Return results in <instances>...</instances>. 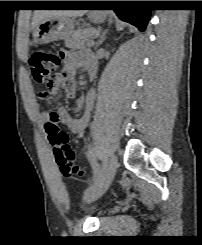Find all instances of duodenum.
Returning a JSON list of instances; mask_svg holds the SVG:
<instances>
[{
    "label": "duodenum",
    "mask_w": 202,
    "mask_h": 245,
    "mask_svg": "<svg viewBox=\"0 0 202 245\" xmlns=\"http://www.w3.org/2000/svg\"><path fill=\"white\" fill-rule=\"evenodd\" d=\"M89 72L92 74L93 73V70H89Z\"/></svg>",
    "instance_id": "1"
}]
</instances>
